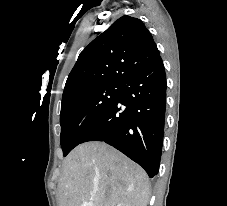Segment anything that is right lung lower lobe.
<instances>
[{
  "label": "right lung lower lobe",
  "mask_w": 227,
  "mask_h": 206,
  "mask_svg": "<svg viewBox=\"0 0 227 206\" xmlns=\"http://www.w3.org/2000/svg\"><path fill=\"white\" fill-rule=\"evenodd\" d=\"M117 100L82 142L104 141L145 169L158 173L163 143L166 76L161 57L129 75Z\"/></svg>",
  "instance_id": "98d812e1"
}]
</instances>
